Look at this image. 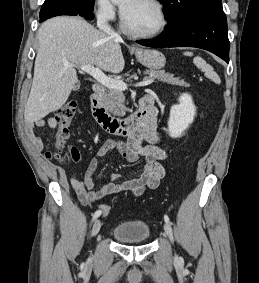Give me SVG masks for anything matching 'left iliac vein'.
<instances>
[{
	"label": "left iliac vein",
	"mask_w": 259,
	"mask_h": 283,
	"mask_svg": "<svg viewBox=\"0 0 259 283\" xmlns=\"http://www.w3.org/2000/svg\"><path fill=\"white\" fill-rule=\"evenodd\" d=\"M163 228H164V231H165L166 235L170 239V241L173 242L174 241L173 232H172V229H171L170 225L166 222V223H164Z\"/></svg>",
	"instance_id": "1"
}]
</instances>
